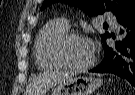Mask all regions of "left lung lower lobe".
Segmentation results:
<instances>
[{
  "instance_id": "left-lung-lower-lobe-1",
  "label": "left lung lower lobe",
  "mask_w": 135,
  "mask_h": 95,
  "mask_svg": "<svg viewBox=\"0 0 135 95\" xmlns=\"http://www.w3.org/2000/svg\"><path fill=\"white\" fill-rule=\"evenodd\" d=\"M118 23L121 25V40L115 44H107V38H115L108 34L102 39L104 58L102 62L89 72L112 73L130 82L135 87V11Z\"/></svg>"
}]
</instances>
